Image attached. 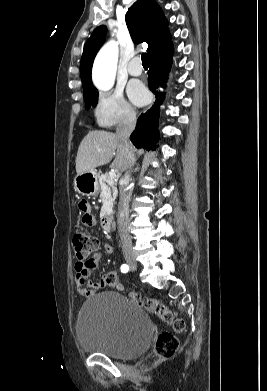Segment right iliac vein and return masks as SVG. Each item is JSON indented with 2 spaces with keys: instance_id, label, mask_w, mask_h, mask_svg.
I'll return each mask as SVG.
<instances>
[{
  "instance_id": "63e3f726",
  "label": "right iliac vein",
  "mask_w": 267,
  "mask_h": 391,
  "mask_svg": "<svg viewBox=\"0 0 267 391\" xmlns=\"http://www.w3.org/2000/svg\"><path fill=\"white\" fill-rule=\"evenodd\" d=\"M126 261H127V264L133 269V270H135V269H137V262H136V260H135V258H134V256L133 255H127L126 256Z\"/></svg>"
}]
</instances>
